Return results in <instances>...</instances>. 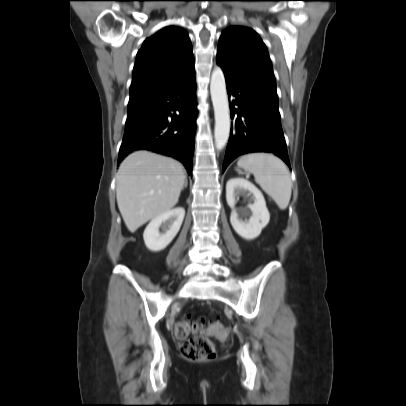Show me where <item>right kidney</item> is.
Wrapping results in <instances>:
<instances>
[{
	"instance_id": "1",
	"label": "right kidney",
	"mask_w": 406,
	"mask_h": 406,
	"mask_svg": "<svg viewBox=\"0 0 406 406\" xmlns=\"http://www.w3.org/2000/svg\"><path fill=\"white\" fill-rule=\"evenodd\" d=\"M184 216L185 210L178 207L152 219L143 234L146 247L154 252L166 248L180 230ZM161 226L166 229L164 233L159 231Z\"/></svg>"
}]
</instances>
